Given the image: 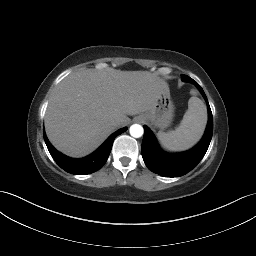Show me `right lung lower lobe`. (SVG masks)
<instances>
[{
	"instance_id": "1",
	"label": "right lung lower lobe",
	"mask_w": 256,
	"mask_h": 256,
	"mask_svg": "<svg viewBox=\"0 0 256 256\" xmlns=\"http://www.w3.org/2000/svg\"><path fill=\"white\" fill-rule=\"evenodd\" d=\"M126 130L127 127L117 130L95 152L81 159L69 158L58 152L47 139L45 131H43V136L51 156L63 170L71 174L83 175L93 173L105 164L111 152L114 139Z\"/></svg>"
}]
</instances>
